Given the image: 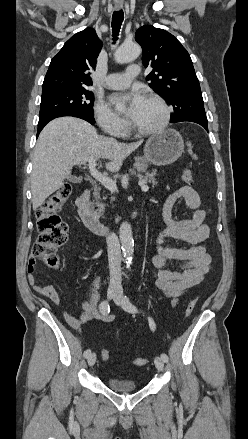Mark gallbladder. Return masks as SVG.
<instances>
[{
  "label": "gallbladder",
  "instance_id": "1",
  "mask_svg": "<svg viewBox=\"0 0 248 439\" xmlns=\"http://www.w3.org/2000/svg\"><path fill=\"white\" fill-rule=\"evenodd\" d=\"M70 181H72V182H77V178L74 177V176H71V177H70Z\"/></svg>",
  "mask_w": 248,
  "mask_h": 439
}]
</instances>
